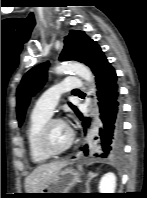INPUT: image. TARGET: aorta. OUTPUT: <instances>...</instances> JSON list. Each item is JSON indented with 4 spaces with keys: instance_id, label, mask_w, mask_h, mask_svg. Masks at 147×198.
Returning a JSON list of instances; mask_svg holds the SVG:
<instances>
[{
    "instance_id": "aorta-1",
    "label": "aorta",
    "mask_w": 147,
    "mask_h": 198,
    "mask_svg": "<svg viewBox=\"0 0 147 198\" xmlns=\"http://www.w3.org/2000/svg\"><path fill=\"white\" fill-rule=\"evenodd\" d=\"M57 74H63L66 72H73L88 83H93V75L90 69L82 63L79 62H67L61 65H58L55 68Z\"/></svg>"
}]
</instances>
